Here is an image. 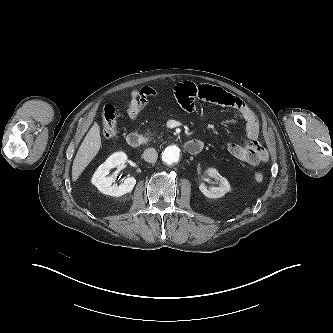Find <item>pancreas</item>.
I'll use <instances>...</instances> for the list:
<instances>
[{"instance_id":"obj_1","label":"pancreas","mask_w":333,"mask_h":333,"mask_svg":"<svg viewBox=\"0 0 333 333\" xmlns=\"http://www.w3.org/2000/svg\"><path fill=\"white\" fill-rule=\"evenodd\" d=\"M147 135H148V137L146 138V141L153 139L152 138L153 133L150 132V133H147Z\"/></svg>"}]
</instances>
